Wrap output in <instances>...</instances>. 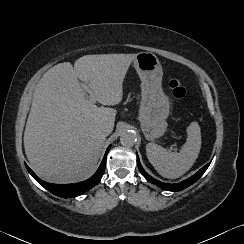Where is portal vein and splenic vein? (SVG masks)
I'll list each match as a JSON object with an SVG mask.
<instances>
[{
    "label": "portal vein and splenic vein",
    "instance_id": "portal-vein-and-splenic-vein-1",
    "mask_svg": "<svg viewBox=\"0 0 244 244\" xmlns=\"http://www.w3.org/2000/svg\"><path fill=\"white\" fill-rule=\"evenodd\" d=\"M82 87H83V89H84L86 92H88V93L90 94L89 101H90L91 103H95L96 100H95V98H94V94H93V92L91 91V89H90L86 84H83Z\"/></svg>",
    "mask_w": 244,
    "mask_h": 244
}]
</instances>
